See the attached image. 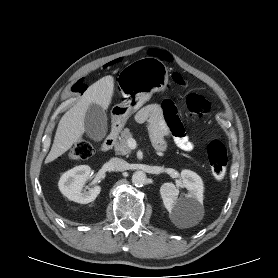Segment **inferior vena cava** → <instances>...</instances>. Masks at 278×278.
I'll list each match as a JSON object with an SVG mask.
<instances>
[{
	"instance_id": "1",
	"label": "inferior vena cava",
	"mask_w": 278,
	"mask_h": 278,
	"mask_svg": "<svg viewBox=\"0 0 278 278\" xmlns=\"http://www.w3.org/2000/svg\"><path fill=\"white\" fill-rule=\"evenodd\" d=\"M110 166L115 171H124L127 169V162L120 158H112Z\"/></svg>"
}]
</instances>
